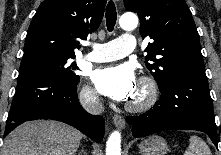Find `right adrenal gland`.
<instances>
[{
	"mask_svg": "<svg viewBox=\"0 0 221 155\" xmlns=\"http://www.w3.org/2000/svg\"><path fill=\"white\" fill-rule=\"evenodd\" d=\"M78 155H88L83 146L81 147V150L79 151Z\"/></svg>",
	"mask_w": 221,
	"mask_h": 155,
	"instance_id": "obj_1",
	"label": "right adrenal gland"
}]
</instances>
